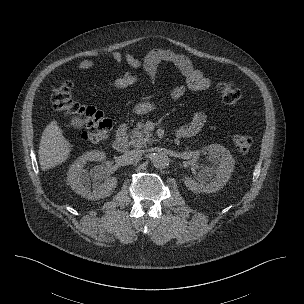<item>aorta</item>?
Instances as JSON below:
<instances>
[{
  "instance_id": "aorta-1",
  "label": "aorta",
  "mask_w": 304,
  "mask_h": 304,
  "mask_svg": "<svg viewBox=\"0 0 304 304\" xmlns=\"http://www.w3.org/2000/svg\"><path fill=\"white\" fill-rule=\"evenodd\" d=\"M153 166L157 169H164L169 165L170 159L165 153H155L151 157Z\"/></svg>"
}]
</instances>
